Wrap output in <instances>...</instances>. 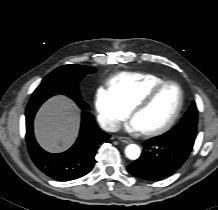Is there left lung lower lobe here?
Masks as SVG:
<instances>
[{"instance_id":"1","label":"left lung lower lobe","mask_w":218,"mask_h":210,"mask_svg":"<svg viewBox=\"0 0 218 210\" xmlns=\"http://www.w3.org/2000/svg\"><path fill=\"white\" fill-rule=\"evenodd\" d=\"M181 127L176 136H157L143 143L139 159L128 166V172L138 178L155 181L170 176L189 156L193 144L192 131Z\"/></svg>"}]
</instances>
